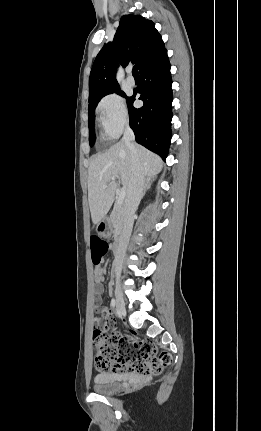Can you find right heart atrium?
Listing matches in <instances>:
<instances>
[{
	"instance_id": "right-heart-atrium-1",
	"label": "right heart atrium",
	"mask_w": 261,
	"mask_h": 431,
	"mask_svg": "<svg viewBox=\"0 0 261 431\" xmlns=\"http://www.w3.org/2000/svg\"><path fill=\"white\" fill-rule=\"evenodd\" d=\"M96 111L102 131L109 138L118 137L128 124L129 116L125 102L116 93L104 96L99 101Z\"/></svg>"
}]
</instances>
